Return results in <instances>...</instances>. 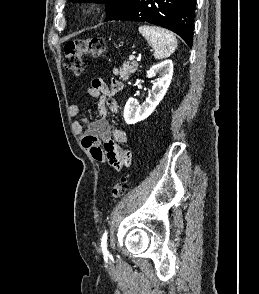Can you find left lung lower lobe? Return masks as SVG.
I'll list each match as a JSON object with an SVG mask.
<instances>
[{
  "mask_svg": "<svg viewBox=\"0 0 259 294\" xmlns=\"http://www.w3.org/2000/svg\"><path fill=\"white\" fill-rule=\"evenodd\" d=\"M196 0H136L105 19L148 22L178 34L192 47Z\"/></svg>",
  "mask_w": 259,
  "mask_h": 294,
  "instance_id": "obj_1",
  "label": "left lung lower lobe"
}]
</instances>
